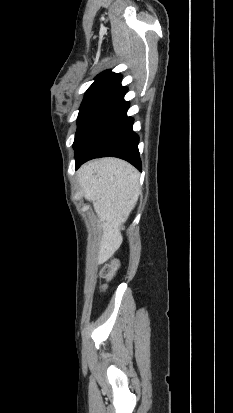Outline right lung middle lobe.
<instances>
[{
  "mask_svg": "<svg viewBox=\"0 0 233 413\" xmlns=\"http://www.w3.org/2000/svg\"><path fill=\"white\" fill-rule=\"evenodd\" d=\"M115 83V81L95 82L90 86V88L85 93V97L81 104L80 112L78 115V129L75 135L74 145L78 141L92 113L99 105V103L102 101V99L105 97V95L115 85Z\"/></svg>",
  "mask_w": 233,
  "mask_h": 413,
  "instance_id": "dd1d6c3e",
  "label": "right lung middle lobe"
}]
</instances>
